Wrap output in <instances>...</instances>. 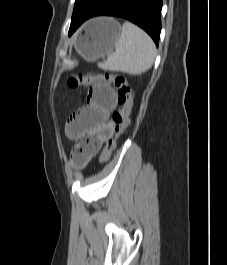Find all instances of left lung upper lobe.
<instances>
[{
    "mask_svg": "<svg viewBox=\"0 0 227 265\" xmlns=\"http://www.w3.org/2000/svg\"><path fill=\"white\" fill-rule=\"evenodd\" d=\"M105 0H76L71 19V26L88 18Z\"/></svg>",
    "mask_w": 227,
    "mask_h": 265,
    "instance_id": "left-lung-upper-lobe-1",
    "label": "left lung upper lobe"
}]
</instances>
